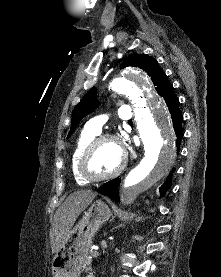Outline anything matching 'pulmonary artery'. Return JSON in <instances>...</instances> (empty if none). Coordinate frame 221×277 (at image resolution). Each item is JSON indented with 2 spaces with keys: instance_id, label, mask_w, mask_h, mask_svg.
<instances>
[{
  "instance_id": "e3ab8cb5",
  "label": "pulmonary artery",
  "mask_w": 221,
  "mask_h": 277,
  "mask_svg": "<svg viewBox=\"0 0 221 277\" xmlns=\"http://www.w3.org/2000/svg\"><path fill=\"white\" fill-rule=\"evenodd\" d=\"M132 116H133V113L130 106L122 105L119 107L118 117L121 120H124V121L132 120ZM106 121H107L106 115L96 116L87 122L86 128L95 133H100L102 126L105 124Z\"/></svg>"
}]
</instances>
